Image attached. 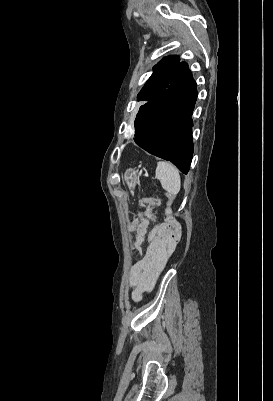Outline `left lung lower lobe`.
<instances>
[{"mask_svg":"<svg viewBox=\"0 0 273 401\" xmlns=\"http://www.w3.org/2000/svg\"><path fill=\"white\" fill-rule=\"evenodd\" d=\"M196 98V83L187 63L182 62L168 88L142 105L135 119V143L171 161L184 174L193 154L191 116Z\"/></svg>","mask_w":273,"mask_h":401,"instance_id":"obj_1","label":"left lung lower lobe"}]
</instances>
